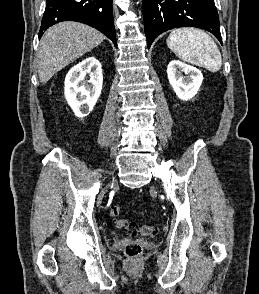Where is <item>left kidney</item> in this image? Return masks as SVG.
I'll return each mask as SVG.
<instances>
[{
    "label": "left kidney",
    "mask_w": 259,
    "mask_h": 294,
    "mask_svg": "<svg viewBox=\"0 0 259 294\" xmlns=\"http://www.w3.org/2000/svg\"><path fill=\"white\" fill-rule=\"evenodd\" d=\"M167 75L174 92L183 101L193 98L203 81V75L199 69L179 60H172L169 63Z\"/></svg>",
    "instance_id": "obj_1"
}]
</instances>
